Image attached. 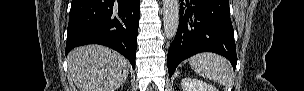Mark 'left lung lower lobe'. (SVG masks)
Segmentation results:
<instances>
[{"mask_svg": "<svg viewBox=\"0 0 304 91\" xmlns=\"http://www.w3.org/2000/svg\"><path fill=\"white\" fill-rule=\"evenodd\" d=\"M215 52L236 68L237 54L228 0H181L180 20L167 57L169 77L186 58Z\"/></svg>", "mask_w": 304, "mask_h": 91, "instance_id": "left-lung-lower-lobe-1", "label": "left lung lower lobe"}]
</instances>
